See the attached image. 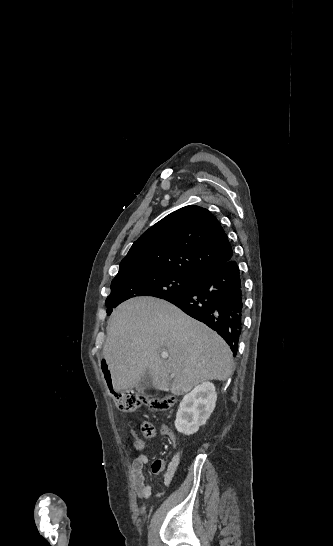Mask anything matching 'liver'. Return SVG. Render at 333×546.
<instances>
[{
	"label": "liver",
	"instance_id": "liver-1",
	"mask_svg": "<svg viewBox=\"0 0 333 546\" xmlns=\"http://www.w3.org/2000/svg\"><path fill=\"white\" fill-rule=\"evenodd\" d=\"M107 334L103 357L115 392L136 388L146 372L153 387L174 395L206 380L225 381L233 372L227 343L164 300L137 297L121 303Z\"/></svg>",
	"mask_w": 333,
	"mask_h": 546
}]
</instances>
